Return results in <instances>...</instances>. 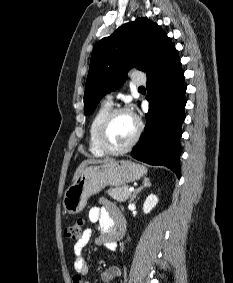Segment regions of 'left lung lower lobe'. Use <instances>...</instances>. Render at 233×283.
<instances>
[{
	"label": "left lung lower lobe",
	"instance_id": "obj_1",
	"mask_svg": "<svg viewBox=\"0 0 233 283\" xmlns=\"http://www.w3.org/2000/svg\"><path fill=\"white\" fill-rule=\"evenodd\" d=\"M147 90L149 112L145 132L131 155L151 165H164L180 178L179 140L185 119L186 85L175 45L147 73Z\"/></svg>",
	"mask_w": 233,
	"mask_h": 283
}]
</instances>
